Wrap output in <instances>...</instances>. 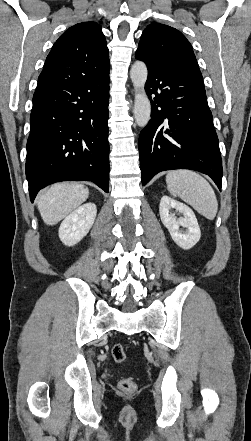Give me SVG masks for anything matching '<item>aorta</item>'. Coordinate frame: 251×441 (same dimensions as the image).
Instances as JSON below:
<instances>
[{"label": "aorta", "mask_w": 251, "mask_h": 441, "mask_svg": "<svg viewBox=\"0 0 251 441\" xmlns=\"http://www.w3.org/2000/svg\"><path fill=\"white\" fill-rule=\"evenodd\" d=\"M147 67L144 62L136 61L130 70V77L135 90L134 118L139 127H145L151 114V104L145 92L147 80Z\"/></svg>", "instance_id": "762f6f07"}]
</instances>
